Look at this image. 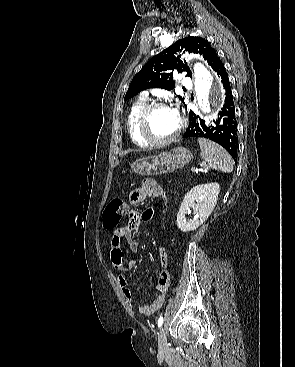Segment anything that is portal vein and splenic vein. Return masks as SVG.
I'll return each mask as SVG.
<instances>
[{
    "label": "portal vein and splenic vein",
    "instance_id": "1",
    "mask_svg": "<svg viewBox=\"0 0 295 367\" xmlns=\"http://www.w3.org/2000/svg\"><path fill=\"white\" fill-rule=\"evenodd\" d=\"M191 171L195 173V172H198V169H197V168H195V167H192V168H191Z\"/></svg>",
    "mask_w": 295,
    "mask_h": 367
}]
</instances>
